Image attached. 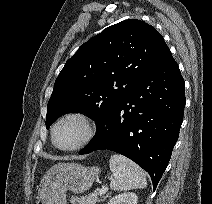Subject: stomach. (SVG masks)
I'll use <instances>...</instances> for the list:
<instances>
[{"mask_svg": "<svg viewBox=\"0 0 212 204\" xmlns=\"http://www.w3.org/2000/svg\"><path fill=\"white\" fill-rule=\"evenodd\" d=\"M100 168L77 163H58L43 176L36 204H66L65 193L87 191L98 177Z\"/></svg>", "mask_w": 212, "mask_h": 204, "instance_id": "1", "label": "stomach"}]
</instances>
